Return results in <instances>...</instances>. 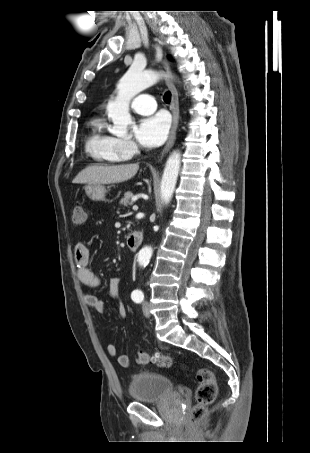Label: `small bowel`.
Masks as SVG:
<instances>
[{
  "label": "small bowel",
  "instance_id": "c3829d8e",
  "mask_svg": "<svg viewBox=\"0 0 310 453\" xmlns=\"http://www.w3.org/2000/svg\"><path fill=\"white\" fill-rule=\"evenodd\" d=\"M74 260L76 264V277L78 281L86 287L97 288L100 285V278L89 267L90 252L87 245L78 243L74 249ZM120 277H111L108 283L109 296L118 302V314L120 317L126 316V307L120 300ZM84 300L88 306L99 313H103L106 309L105 303L95 294L87 293L84 295ZM107 353L115 357L121 367L130 365V357L127 354L117 353V347L113 343H109L106 347Z\"/></svg>",
  "mask_w": 310,
  "mask_h": 453
}]
</instances>
